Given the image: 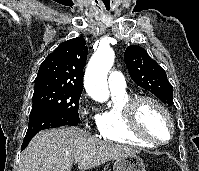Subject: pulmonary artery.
I'll use <instances>...</instances> for the list:
<instances>
[{
    "label": "pulmonary artery",
    "instance_id": "1",
    "mask_svg": "<svg viewBox=\"0 0 199 171\" xmlns=\"http://www.w3.org/2000/svg\"><path fill=\"white\" fill-rule=\"evenodd\" d=\"M108 86L111 91H122L125 89V80L118 71H112L108 77Z\"/></svg>",
    "mask_w": 199,
    "mask_h": 171
}]
</instances>
